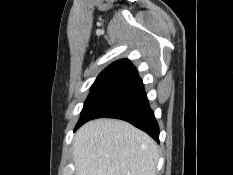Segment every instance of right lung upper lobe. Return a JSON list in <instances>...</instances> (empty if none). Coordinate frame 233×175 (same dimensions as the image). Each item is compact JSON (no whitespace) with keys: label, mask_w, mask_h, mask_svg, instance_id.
I'll use <instances>...</instances> for the list:
<instances>
[{"label":"right lung upper lobe","mask_w":233,"mask_h":175,"mask_svg":"<svg viewBox=\"0 0 233 175\" xmlns=\"http://www.w3.org/2000/svg\"><path fill=\"white\" fill-rule=\"evenodd\" d=\"M105 77H122L137 80L139 76L135 67L128 59L116 61L104 69L98 78Z\"/></svg>","instance_id":"cb5924a9"}]
</instances>
